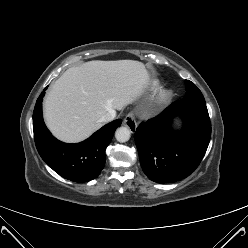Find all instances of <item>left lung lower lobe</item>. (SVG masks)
Returning a JSON list of instances; mask_svg holds the SVG:
<instances>
[{
  "mask_svg": "<svg viewBox=\"0 0 248 248\" xmlns=\"http://www.w3.org/2000/svg\"><path fill=\"white\" fill-rule=\"evenodd\" d=\"M181 116L184 126L173 131L172 120ZM211 137V123L202 93L189 94L163 112L141 123L135 142L141 167L152 181L170 183L192 172L203 159Z\"/></svg>",
  "mask_w": 248,
  "mask_h": 248,
  "instance_id": "0a47b994",
  "label": "left lung lower lobe"
}]
</instances>
